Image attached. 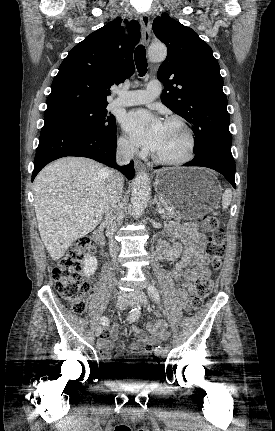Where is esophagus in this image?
I'll use <instances>...</instances> for the list:
<instances>
[{"instance_id": "34e87169", "label": "esophagus", "mask_w": 275, "mask_h": 431, "mask_svg": "<svg viewBox=\"0 0 275 431\" xmlns=\"http://www.w3.org/2000/svg\"><path fill=\"white\" fill-rule=\"evenodd\" d=\"M140 23L142 26V38L145 46L149 45L150 42V19L149 16L145 13L140 16ZM135 169L137 171H142L145 169V165L140 160H135Z\"/></svg>"}]
</instances>
